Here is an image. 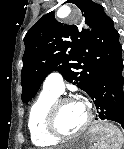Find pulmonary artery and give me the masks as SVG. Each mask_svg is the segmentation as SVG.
I'll return each instance as SVG.
<instances>
[{"mask_svg":"<svg viewBox=\"0 0 124 149\" xmlns=\"http://www.w3.org/2000/svg\"><path fill=\"white\" fill-rule=\"evenodd\" d=\"M43 89L60 95L64 91L62 75L57 71L50 73L43 83Z\"/></svg>","mask_w":124,"mask_h":149,"instance_id":"pulmonary-artery-1","label":"pulmonary artery"}]
</instances>
